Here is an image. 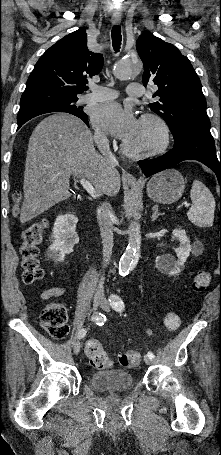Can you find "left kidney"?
<instances>
[{
    "instance_id": "obj_1",
    "label": "left kidney",
    "mask_w": 221,
    "mask_h": 455,
    "mask_svg": "<svg viewBox=\"0 0 221 455\" xmlns=\"http://www.w3.org/2000/svg\"><path fill=\"white\" fill-rule=\"evenodd\" d=\"M173 236L179 241V247L175 250L177 254V260L170 255H160L156 257V267L165 273L170 275H176L181 272L187 258L191 252L190 239L186 235V231L177 228L172 232Z\"/></svg>"
}]
</instances>
